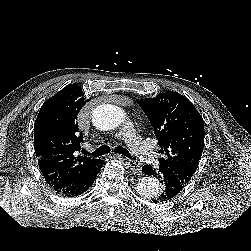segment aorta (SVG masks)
I'll return each mask as SVG.
<instances>
[{"label": "aorta", "mask_w": 251, "mask_h": 251, "mask_svg": "<svg viewBox=\"0 0 251 251\" xmlns=\"http://www.w3.org/2000/svg\"><path fill=\"white\" fill-rule=\"evenodd\" d=\"M126 119L125 112L114 105L103 104L98 106L93 114L94 125L101 130H111L120 126ZM137 193L145 199L156 197L160 191V183L155 177H144L136 186Z\"/></svg>", "instance_id": "aorta-1"}]
</instances>
